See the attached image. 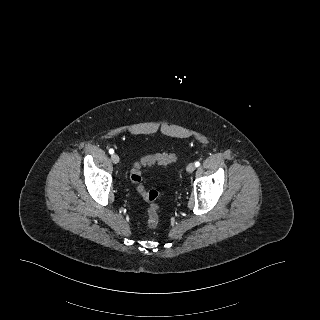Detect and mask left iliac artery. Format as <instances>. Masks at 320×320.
<instances>
[{
    "label": "left iliac artery",
    "mask_w": 320,
    "mask_h": 320,
    "mask_svg": "<svg viewBox=\"0 0 320 320\" xmlns=\"http://www.w3.org/2000/svg\"><path fill=\"white\" fill-rule=\"evenodd\" d=\"M195 166L196 167L200 166V162L199 161L195 162Z\"/></svg>",
    "instance_id": "obj_1"
}]
</instances>
